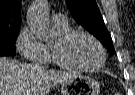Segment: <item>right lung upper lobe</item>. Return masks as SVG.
Listing matches in <instances>:
<instances>
[{
  "label": "right lung upper lobe",
  "instance_id": "1",
  "mask_svg": "<svg viewBox=\"0 0 135 95\" xmlns=\"http://www.w3.org/2000/svg\"><path fill=\"white\" fill-rule=\"evenodd\" d=\"M20 5L21 0H0V33L20 29Z\"/></svg>",
  "mask_w": 135,
  "mask_h": 95
}]
</instances>
